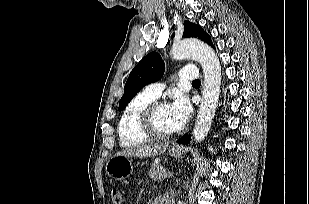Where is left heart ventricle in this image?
I'll list each match as a JSON object with an SVG mask.
<instances>
[{
	"label": "left heart ventricle",
	"mask_w": 309,
	"mask_h": 204,
	"mask_svg": "<svg viewBox=\"0 0 309 204\" xmlns=\"http://www.w3.org/2000/svg\"><path fill=\"white\" fill-rule=\"evenodd\" d=\"M154 124L160 132H171L176 130L169 105L160 107L154 116Z\"/></svg>",
	"instance_id": "left-heart-ventricle-1"
}]
</instances>
